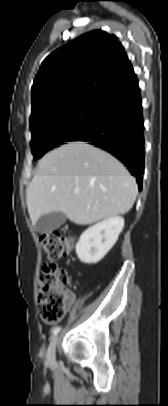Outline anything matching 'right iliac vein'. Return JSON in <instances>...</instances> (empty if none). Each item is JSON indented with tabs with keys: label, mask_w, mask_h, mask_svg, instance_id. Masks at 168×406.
I'll use <instances>...</instances> for the list:
<instances>
[{
	"label": "right iliac vein",
	"mask_w": 168,
	"mask_h": 406,
	"mask_svg": "<svg viewBox=\"0 0 168 406\" xmlns=\"http://www.w3.org/2000/svg\"><path fill=\"white\" fill-rule=\"evenodd\" d=\"M58 344V335L54 336L50 342V345L47 350V359L49 362H54L55 360V352H56V347Z\"/></svg>",
	"instance_id": "63e3f726"
}]
</instances>
